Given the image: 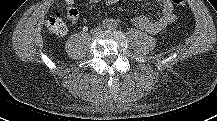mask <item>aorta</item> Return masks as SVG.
<instances>
[{"mask_svg": "<svg viewBox=\"0 0 217 121\" xmlns=\"http://www.w3.org/2000/svg\"><path fill=\"white\" fill-rule=\"evenodd\" d=\"M105 27L114 28V27H116V22L113 19H106L105 20Z\"/></svg>", "mask_w": 217, "mask_h": 121, "instance_id": "obj_1", "label": "aorta"}]
</instances>
